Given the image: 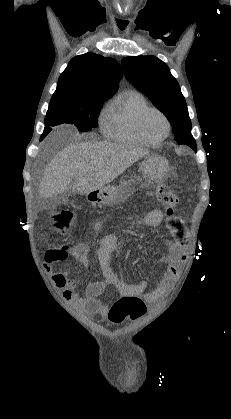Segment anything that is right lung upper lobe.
<instances>
[{
    "label": "right lung upper lobe",
    "mask_w": 231,
    "mask_h": 419,
    "mask_svg": "<svg viewBox=\"0 0 231 419\" xmlns=\"http://www.w3.org/2000/svg\"><path fill=\"white\" fill-rule=\"evenodd\" d=\"M123 78L119 63L88 52L72 58L60 75L55 93L76 98H109Z\"/></svg>",
    "instance_id": "right-lung-upper-lobe-1"
}]
</instances>
